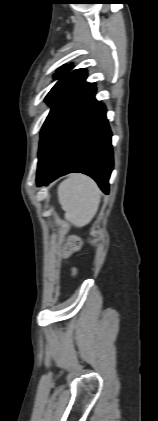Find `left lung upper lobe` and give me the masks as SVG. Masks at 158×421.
I'll return each mask as SVG.
<instances>
[{
	"mask_svg": "<svg viewBox=\"0 0 158 421\" xmlns=\"http://www.w3.org/2000/svg\"><path fill=\"white\" fill-rule=\"evenodd\" d=\"M69 70L70 67L63 65L57 70V72H63V74H54V79H59V81L45 98V101L51 106V110L42 127V133L57 113L86 84L87 71L85 69L68 72Z\"/></svg>",
	"mask_w": 158,
	"mask_h": 421,
	"instance_id": "1",
	"label": "left lung upper lobe"
}]
</instances>
